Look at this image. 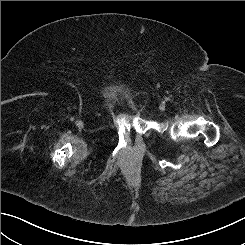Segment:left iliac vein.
<instances>
[{
  "mask_svg": "<svg viewBox=\"0 0 245 245\" xmlns=\"http://www.w3.org/2000/svg\"><path fill=\"white\" fill-rule=\"evenodd\" d=\"M160 109H161V110H164V109H165V104H164V103H162V104L160 105Z\"/></svg>",
  "mask_w": 245,
  "mask_h": 245,
  "instance_id": "4c4485c4",
  "label": "left iliac vein"
}]
</instances>
